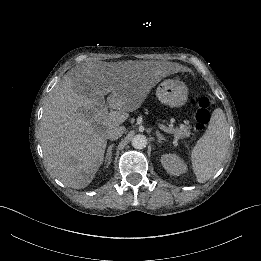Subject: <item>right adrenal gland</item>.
<instances>
[{
  "instance_id": "2a0ac1e0",
  "label": "right adrenal gland",
  "mask_w": 261,
  "mask_h": 261,
  "mask_svg": "<svg viewBox=\"0 0 261 261\" xmlns=\"http://www.w3.org/2000/svg\"><path fill=\"white\" fill-rule=\"evenodd\" d=\"M114 147V144H111L108 146V149H107V157H106V160L104 162V166H105V169H108L109 168V165L111 164V159H112V149Z\"/></svg>"
}]
</instances>
